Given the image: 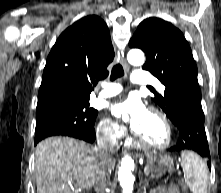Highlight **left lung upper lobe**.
<instances>
[{
	"mask_svg": "<svg viewBox=\"0 0 221 193\" xmlns=\"http://www.w3.org/2000/svg\"><path fill=\"white\" fill-rule=\"evenodd\" d=\"M129 46L145 52L142 68L166 86L163 95L154 93L152 99L177 125L183 102L201 99L197 66L188 42L171 23L152 17L139 24Z\"/></svg>",
	"mask_w": 221,
	"mask_h": 193,
	"instance_id": "5c2ea615",
	"label": "left lung upper lobe"
}]
</instances>
